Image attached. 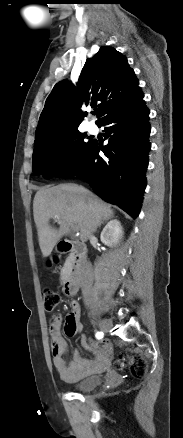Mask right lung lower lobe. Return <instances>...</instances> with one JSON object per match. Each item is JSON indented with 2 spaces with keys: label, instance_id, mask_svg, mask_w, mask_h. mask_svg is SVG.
<instances>
[{
  "label": "right lung lower lobe",
  "instance_id": "98d812e1",
  "mask_svg": "<svg viewBox=\"0 0 183 438\" xmlns=\"http://www.w3.org/2000/svg\"><path fill=\"white\" fill-rule=\"evenodd\" d=\"M143 93L109 113L98 126H105L108 144L92 141L56 177L84 179L105 201L118 205L132 218L140 212L146 187L145 172L150 150L149 110ZM103 151L105 157L99 156Z\"/></svg>",
  "mask_w": 183,
  "mask_h": 438
}]
</instances>
